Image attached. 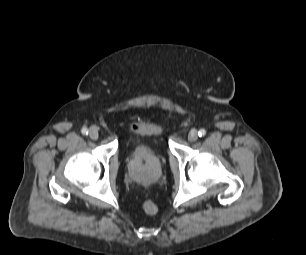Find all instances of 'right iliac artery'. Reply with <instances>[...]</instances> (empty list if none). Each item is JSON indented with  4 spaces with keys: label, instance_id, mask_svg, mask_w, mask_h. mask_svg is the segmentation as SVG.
Returning a JSON list of instances; mask_svg holds the SVG:
<instances>
[{
    "label": "right iliac artery",
    "instance_id": "82829eb1",
    "mask_svg": "<svg viewBox=\"0 0 306 255\" xmlns=\"http://www.w3.org/2000/svg\"><path fill=\"white\" fill-rule=\"evenodd\" d=\"M81 132H82V134L87 135L88 134V129L87 128H82Z\"/></svg>",
    "mask_w": 306,
    "mask_h": 255
}]
</instances>
